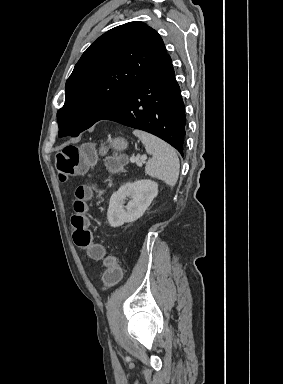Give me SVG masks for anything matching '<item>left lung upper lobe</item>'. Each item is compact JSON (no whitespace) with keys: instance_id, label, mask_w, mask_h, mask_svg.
<instances>
[{"instance_id":"1","label":"left lung upper lobe","mask_w":283,"mask_h":384,"mask_svg":"<svg viewBox=\"0 0 283 384\" xmlns=\"http://www.w3.org/2000/svg\"><path fill=\"white\" fill-rule=\"evenodd\" d=\"M167 54L160 35L139 21L117 26L83 53L66 82L59 136H78L119 106Z\"/></svg>"}]
</instances>
